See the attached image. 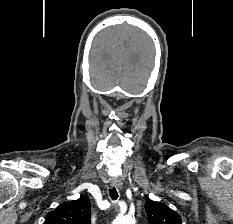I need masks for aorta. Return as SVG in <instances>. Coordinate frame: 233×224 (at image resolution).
<instances>
[{
    "label": "aorta",
    "mask_w": 233,
    "mask_h": 224,
    "mask_svg": "<svg viewBox=\"0 0 233 224\" xmlns=\"http://www.w3.org/2000/svg\"><path fill=\"white\" fill-rule=\"evenodd\" d=\"M113 224H136V221L129 216H119L113 221Z\"/></svg>",
    "instance_id": "obj_1"
}]
</instances>
